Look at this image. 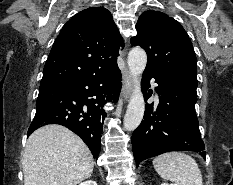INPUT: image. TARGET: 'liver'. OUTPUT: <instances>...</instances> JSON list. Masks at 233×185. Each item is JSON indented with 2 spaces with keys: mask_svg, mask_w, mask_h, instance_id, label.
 <instances>
[{
  "mask_svg": "<svg viewBox=\"0 0 233 185\" xmlns=\"http://www.w3.org/2000/svg\"><path fill=\"white\" fill-rule=\"evenodd\" d=\"M24 185H77L90 178L93 156L86 144L61 125H46L28 138L22 156Z\"/></svg>",
  "mask_w": 233,
  "mask_h": 185,
  "instance_id": "liver-1",
  "label": "liver"
}]
</instances>
